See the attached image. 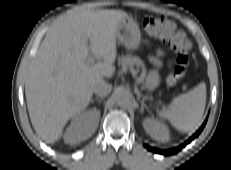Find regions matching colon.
I'll list each match as a JSON object with an SVG mask.
<instances>
[{
    "label": "colon",
    "instance_id": "colon-1",
    "mask_svg": "<svg viewBox=\"0 0 231 170\" xmlns=\"http://www.w3.org/2000/svg\"><path fill=\"white\" fill-rule=\"evenodd\" d=\"M141 27L147 34L167 42L177 52L176 66L165 78L166 85L175 88L184 76L189 62V42L172 22L164 18L145 17L141 21Z\"/></svg>",
    "mask_w": 231,
    "mask_h": 170
}]
</instances>
